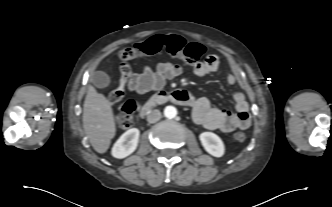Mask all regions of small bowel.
Masks as SVG:
<instances>
[{
  "label": "small bowel",
  "mask_w": 332,
  "mask_h": 207,
  "mask_svg": "<svg viewBox=\"0 0 332 207\" xmlns=\"http://www.w3.org/2000/svg\"><path fill=\"white\" fill-rule=\"evenodd\" d=\"M220 61L216 55H208L204 61L193 67V73L198 77L207 76L215 72ZM184 72L180 64L172 62L159 63L155 68L145 66L141 73H136L130 68L122 73L121 84H127L128 90L138 94H146L150 91L159 90L165 84ZM226 82L230 85L236 83L233 73L226 75ZM235 103V113L220 109L211 105L205 97L194 99L193 118L196 123L210 130L231 132L235 129H246L250 126L251 118L249 105L242 92H235L232 96Z\"/></svg>",
  "instance_id": "c3829d8e"
}]
</instances>
